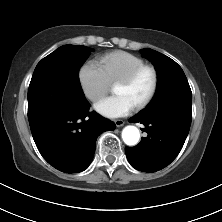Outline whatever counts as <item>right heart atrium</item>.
<instances>
[{
    "label": "right heart atrium",
    "instance_id": "1",
    "mask_svg": "<svg viewBox=\"0 0 222 222\" xmlns=\"http://www.w3.org/2000/svg\"><path fill=\"white\" fill-rule=\"evenodd\" d=\"M79 82L83 94L92 102L104 96L111 87V83L103 68L94 60L87 61L81 66Z\"/></svg>",
    "mask_w": 222,
    "mask_h": 222
}]
</instances>
